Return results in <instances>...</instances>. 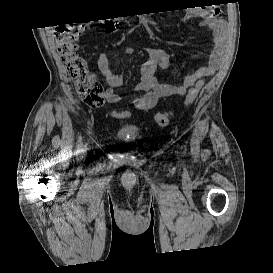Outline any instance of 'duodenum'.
Instances as JSON below:
<instances>
[{
    "label": "duodenum",
    "mask_w": 273,
    "mask_h": 273,
    "mask_svg": "<svg viewBox=\"0 0 273 273\" xmlns=\"http://www.w3.org/2000/svg\"><path fill=\"white\" fill-rule=\"evenodd\" d=\"M117 28L118 26L116 25V23L112 21L107 22V24L105 25V29L107 31H116Z\"/></svg>",
    "instance_id": "410a0bca"
}]
</instances>
